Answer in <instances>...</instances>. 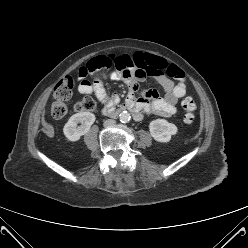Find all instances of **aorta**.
I'll return each mask as SVG.
<instances>
[{"label": "aorta", "mask_w": 248, "mask_h": 248, "mask_svg": "<svg viewBox=\"0 0 248 248\" xmlns=\"http://www.w3.org/2000/svg\"><path fill=\"white\" fill-rule=\"evenodd\" d=\"M130 114L127 111H122L119 115V119L122 123H126L130 120Z\"/></svg>", "instance_id": "aorta-1"}]
</instances>
